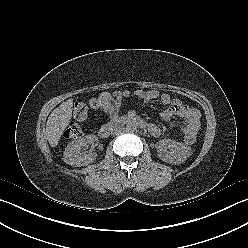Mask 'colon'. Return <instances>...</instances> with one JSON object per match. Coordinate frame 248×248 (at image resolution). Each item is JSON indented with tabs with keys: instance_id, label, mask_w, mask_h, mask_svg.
Wrapping results in <instances>:
<instances>
[{
	"instance_id": "1",
	"label": "colon",
	"mask_w": 248,
	"mask_h": 248,
	"mask_svg": "<svg viewBox=\"0 0 248 248\" xmlns=\"http://www.w3.org/2000/svg\"><path fill=\"white\" fill-rule=\"evenodd\" d=\"M105 98L103 96H99L90 101L89 105L93 109H97L102 106ZM88 115V107L83 102H76L73 108V116L77 121H83L87 118ZM82 135V128L77 123H71L68 128L64 132V138L71 140L77 139ZM184 142L186 144H194L196 142V136H188L184 137Z\"/></svg>"
}]
</instances>
